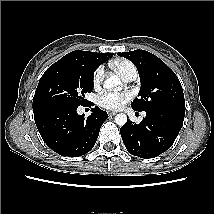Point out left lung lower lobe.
<instances>
[{
  "label": "left lung lower lobe",
  "instance_id": "0a47b994",
  "mask_svg": "<svg viewBox=\"0 0 214 214\" xmlns=\"http://www.w3.org/2000/svg\"><path fill=\"white\" fill-rule=\"evenodd\" d=\"M140 124L127 122L120 128L128 152L141 158H155L174 143L185 116V110L154 108L146 110Z\"/></svg>",
  "mask_w": 214,
  "mask_h": 214
}]
</instances>
